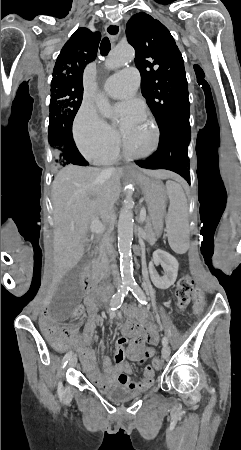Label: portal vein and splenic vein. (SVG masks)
Returning <instances> with one entry per match:
<instances>
[{"instance_id":"18ae733b","label":"portal vein and splenic vein","mask_w":241,"mask_h":450,"mask_svg":"<svg viewBox=\"0 0 241 450\" xmlns=\"http://www.w3.org/2000/svg\"><path fill=\"white\" fill-rule=\"evenodd\" d=\"M140 216H142L140 218V221L144 223L145 218H147V213H146V208H141L140 211ZM104 230V226L103 224H101V222H99V220H96V222H92L91 226H90V232H96V234H100V232H103Z\"/></svg>"}]
</instances>
